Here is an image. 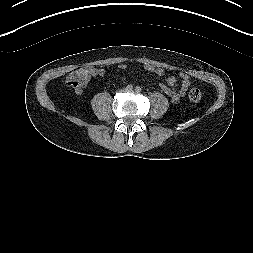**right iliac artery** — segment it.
I'll list each match as a JSON object with an SVG mask.
<instances>
[{
  "instance_id": "obj_1",
  "label": "right iliac artery",
  "mask_w": 253,
  "mask_h": 253,
  "mask_svg": "<svg viewBox=\"0 0 253 253\" xmlns=\"http://www.w3.org/2000/svg\"><path fill=\"white\" fill-rule=\"evenodd\" d=\"M132 88H133L132 85H128V86L126 87L127 90H132Z\"/></svg>"
}]
</instances>
